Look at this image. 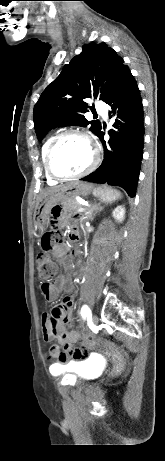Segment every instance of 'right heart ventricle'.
<instances>
[{"instance_id": "obj_1", "label": "right heart ventricle", "mask_w": 165, "mask_h": 461, "mask_svg": "<svg viewBox=\"0 0 165 461\" xmlns=\"http://www.w3.org/2000/svg\"><path fill=\"white\" fill-rule=\"evenodd\" d=\"M53 138H54L53 136H50L49 138H47V139L45 140V142H44L43 145H42L41 153H42L43 164H44V160H45L46 150H47V148H48V146H49V144H50V142L52 141ZM44 167H45V165H44ZM46 178H47L49 184H55V183H56V179H54V178H52L51 176H49V175L47 174V172H46Z\"/></svg>"}]
</instances>
